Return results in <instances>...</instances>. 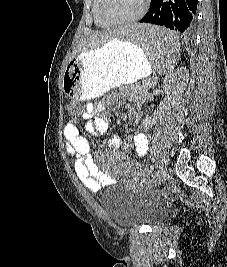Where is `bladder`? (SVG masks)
Returning a JSON list of instances; mask_svg holds the SVG:
<instances>
[{
  "label": "bladder",
  "instance_id": "bladder-1",
  "mask_svg": "<svg viewBox=\"0 0 227 267\" xmlns=\"http://www.w3.org/2000/svg\"><path fill=\"white\" fill-rule=\"evenodd\" d=\"M103 205L111 221L119 226L157 225L168 216V209L120 186L111 188L103 197Z\"/></svg>",
  "mask_w": 227,
  "mask_h": 267
}]
</instances>
